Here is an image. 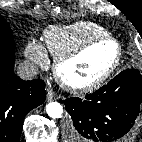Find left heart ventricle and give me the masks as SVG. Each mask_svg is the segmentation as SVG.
Wrapping results in <instances>:
<instances>
[{"instance_id":"left-heart-ventricle-1","label":"left heart ventricle","mask_w":142,"mask_h":142,"mask_svg":"<svg viewBox=\"0 0 142 142\" xmlns=\"http://www.w3.org/2000/svg\"><path fill=\"white\" fill-rule=\"evenodd\" d=\"M116 48L104 42L90 49L80 58L66 64L63 74L74 83L84 84L99 77L113 62Z\"/></svg>"}]
</instances>
